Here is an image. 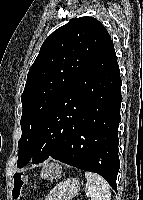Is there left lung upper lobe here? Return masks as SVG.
<instances>
[{
  "label": "left lung upper lobe",
  "mask_w": 143,
  "mask_h": 200,
  "mask_svg": "<svg viewBox=\"0 0 143 200\" xmlns=\"http://www.w3.org/2000/svg\"><path fill=\"white\" fill-rule=\"evenodd\" d=\"M105 27L95 18L79 17L55 30L42 44L27 75L21 96L22 135L17 166L33 157L38 133L47 114L88 64L110 43ZM67 109L57 115L58 119ZM56 122L58 120H55Z\"/></svg>",
  "instance_id": "left-lung-upper-lobe-1"
}]
</instances>
